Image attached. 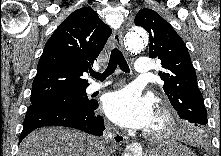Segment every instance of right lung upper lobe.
Listing matches in <instances>:
<instances>
[{
	"label": "right lung upper lobe",
	"mask_w": 221,
	"mask_h": 156,
	"mask_svg": "<svg viewBox=\"0 0 221 156\" xmlns=\"http://www.w3.org/2000/svg\"><path fill=\"white\" fill-rule=\"evenodd\" d=\"M112 30L90 7L71 13L47 41L37 66L31 99L85 90L83 79Z\"/></svg>",
	"instance_id": "obj_1"
}]
</instances>
